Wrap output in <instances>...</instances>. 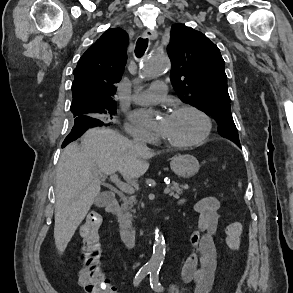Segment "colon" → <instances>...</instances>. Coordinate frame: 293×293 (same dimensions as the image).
Wrapping results in <instances>:
<instances>
[{"label":"colon","mask_w":293,"mask_h":293,"mask_svg":"<svg viewBox=\"0 0 293 293\" xmlns=\"http://www.w3.org/2000/svg\"><path fill=\"white\" fill-rule=\"evenodd\" d=\"M101 216L98 212L91 211L87 214L85 222L79 229V236L83 241L80 256L79 282L86 293H115V287L106 278L102 269L101 245L99 242V227ZM226 246L234 252L240 246L241 225L232 222L226 230Z\"/></svg>","instance_id":"5ec220e1"}]
</instances>
